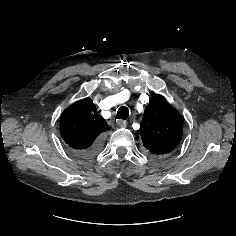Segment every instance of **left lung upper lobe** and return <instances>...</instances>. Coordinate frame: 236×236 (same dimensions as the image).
Wrapping results in <instances>:
<instances>
[{"mask_svg": "<svg viewBox=\"0 0 236 236\" xmlns=\"http://www.w3.org/2000/svg\"><path fill=\"white\" fill-rule=\"evenodd\" d=\"M182 131L183 121L178 111L161 95L151 98L139 129L147 153L165 157L179 145Z\"/></svg>", "mask_w": 236, "mask_h": 236, "instance_id": "1", "label": "left lung upper lobe"}]
</instances>
